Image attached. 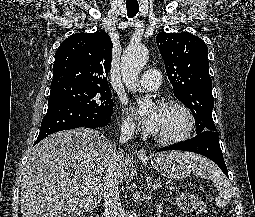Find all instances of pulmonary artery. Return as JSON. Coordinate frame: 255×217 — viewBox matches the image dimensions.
Wrapping results in <instances>:
<instances>
[{"mask_svg":"<svg viewBox=\"0 0 255 217\" xmlns=\"http://www.w3.org/2000/svg\"><path fill=\"white\" fill-rule=\"evenodd\" d=\"M161 83L160 73L156 69L146 70L140 80L139 85L142 91H153L159 88Z\"/></svg>","mask_w":255,"mask_h":217,"instance_id":"obj_1","label":"pulmonary artery"}]
</instances>
